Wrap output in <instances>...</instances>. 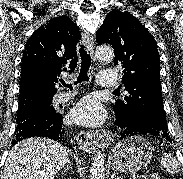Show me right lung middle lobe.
I'll use <instances>...</instances> for the list:
<instances>
[{
    "instance_id": "dd1d6c3e",
    "label": "right lung middle lobe",
    "mask_w": 183,
    "mask_h": 179,
    "mask_svg": "<svg viewBox=\"0 0 183 179\" xmlns=\"http://www.w3.org/2000/svg\"><path fill=\"white\" fill-rule=\"evenodd\" d=\"M53 96L54 94H30L19 97L17 123L25 120L34 110L54 113L55 109L51 105Z\"/></svg>"
}]
</instances>
